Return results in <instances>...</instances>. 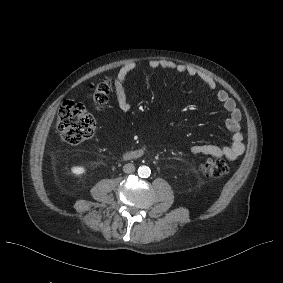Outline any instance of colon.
<instances>
[{
    "label": "colon",
    "instance_id": "obj_1",
    "mask_svg": "<svg viewBox=\"0 0 283 283\" xmlns=\"http://www.w3.org/2000/svg\"><path fill=\"white\" fill-rule=\"evenodd\" d=\"M110 89L111 82L106 78L91 86L89 96L98 109L106 105ZM57 129L64 142L77 145L92 137L95 121L82 104L65 101L58 113ZM199 169L206 176L220 178L228 174L230 167L222 159H208Z\"/></svg>",
    "mask_w": 283,
    "mask_h": 283
}]
</instances>
